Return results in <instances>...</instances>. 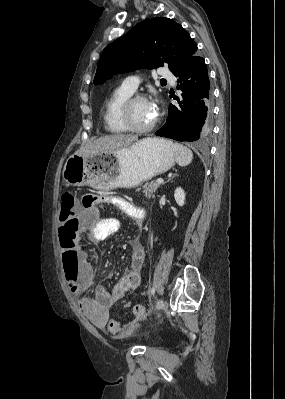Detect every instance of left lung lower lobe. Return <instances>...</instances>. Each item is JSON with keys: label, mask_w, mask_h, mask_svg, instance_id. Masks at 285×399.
Masks as SVG:
<instances>
[{"label": "left lung lower lobe", "mask_w": 285, "mask_h": 399, "mask_svg": "<svg viewBox=\"0 0 285 399\" xmlns=\"http://www.w3.org/2000/svg\"><path fill=\"white\" fill-rule=\"evenodd\" d=\"M178 78L180 109L170 105L166 124L155 134L178 141L204 140L211 131L212 92L204 58L196 53L173 73Z\"/></svg>", "instance_id": "obj_1"}]
</instances>
